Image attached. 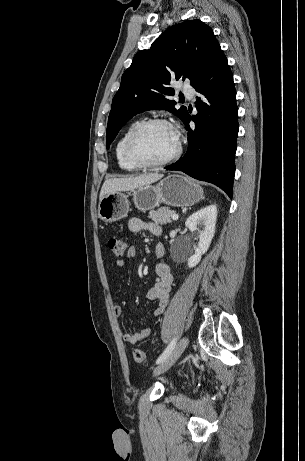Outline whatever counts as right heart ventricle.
<instances>
[{
  "mask_svg": "<svg viewBox=\"0 0 305 461\" xmlns=\"http://www.w3.org/2000/svg\"><path fill=\"white\" fill-rule=\"evenodd\" d=\"M138 123H139L138 121L132 122L123 131V133L121 134V136L117 140L116 146H115V157H116L117 163H118L119 167L122 170H125V171H128V172H134V171L139 170V168L137 166H135V165H133L132 163L129 162V160L127 159V157L125 155L126 140H127L128 136H129V134L132 132V130L134 129V127Z\"/></svg>",
  "mask_w": 305,
  "mask_h": 461,
  "instance_id": "e07e8e85",
  "label": "right heart ventricle"
}]
</instances>
